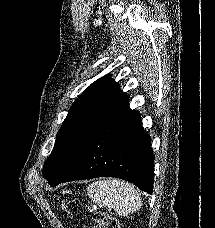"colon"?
I'll return each instance as SVG.
<instances>
[{
	"label": "colon",
	"instance_id": "obj_1",
	"mask_svg": "<svg viewBox=\"0 0 215 228\" xmlns=\"http://www.w3.org/2000/svg\"><path fill=\"white\" fill-rule=\"evenodd\" d=\"M94 222L97 228H117L115 219L105 211H97L94 215Z\"/></svg>",
	"mask_w": 215,
	"mask_h": 228
}]
</instances>
